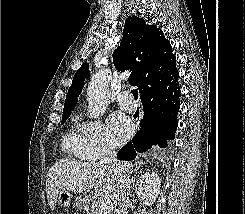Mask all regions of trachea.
<instances>
[{"label":"trachea","instance_id":"3493384b","mask_svg":"<svg viewBox=\"0 0 245 214\" xmlns=\"http://www.w3.org/2000/svg\"><path fill=\"white\" fill-rule=\"evenodd\" d=\"M132 94L134 96V99L137 100L138 99V91L136 89H133Z\"/></svg>","mask_w":245,"mask_h":214}]
</instances>
